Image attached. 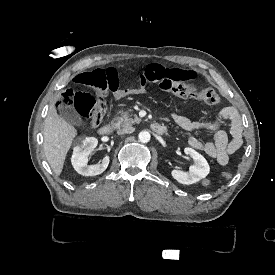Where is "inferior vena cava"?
<instances>
[{"instance_id":"1","label":"inferior vena cava","mask_w":275,"mask_h":275,"mask_svg":"<svg viewBox=\"0 0 275 275\" xmlns=\"http://www.w3.org/2000/svg\"><path fill=\"white\" fill-rule=\"evenodd\" d=\"M134 131H135V128H133V127H126V128L118 130L117 134H119V135L130 134V133H133Z\"/></svg>"}]
</instances>
